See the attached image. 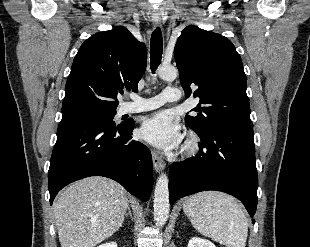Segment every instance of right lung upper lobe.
I'll use <instances>...</instances> for the list:
<instances>
[{"label": "right lung upper lobe", "instance_id": "1", "mask_svg": "<svg viewBox=\"0 0 310 247\" xmlns=\"http://www.w3.org/2000/svg\"><path fill=\"white\" fill-rule=\"evenodd\" d=\"M145 44L119 26L92 35L74 58L62 111L76 107L116 109L117 94L137 91L146 69Z\"/></svg>", "mask_w": 310, "mask_h": 247}]
</instances>
